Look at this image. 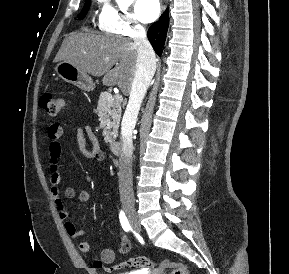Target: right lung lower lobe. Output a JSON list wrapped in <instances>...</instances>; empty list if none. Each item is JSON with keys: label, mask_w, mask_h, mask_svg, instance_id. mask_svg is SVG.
Segmentation results:
<instances>
[{"label": "right lung lower lobe", "mask_w": 289, "mask_h": 274, "mask_svg": "<svg viewBox=\"0 0 289 274\" xmlns=\"http://www.w3.org/2000/svg\"><path fill=\"white\" fill-rule=\"evenodd\" d=\"M169 26L168 9L161 15L160 21L152 24L148 30L147 37L155 52L160 56L165 44L166 34Z\"/></svg>", "instance_id": "right-lung-lower-lobe-1"}]
</instances>
